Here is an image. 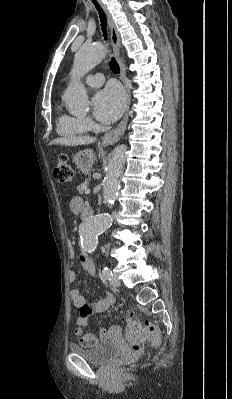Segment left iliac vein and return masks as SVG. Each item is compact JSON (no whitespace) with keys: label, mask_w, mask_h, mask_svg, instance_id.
Masks as SVG:
<instances>
[{"label":"left iliac vein","mask_w":232,"mask_h":399,"mask_svg":"<svg viewBox=\"0 0 232 399\" xmlns=\"http://www.w3.org/2000/svg\"><path fill=\"white\" fill-rule=\"evenodd\" d=\"M110 285H111V286H119L120 283H119V281H118V278H111V279H110Z\"/></svg>","instance_id":"1"}]
</instances>
